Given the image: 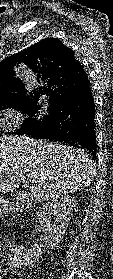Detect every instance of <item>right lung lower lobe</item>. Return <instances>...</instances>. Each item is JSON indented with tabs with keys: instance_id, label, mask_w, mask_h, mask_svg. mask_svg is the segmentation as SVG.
<instances>
[{
	"instance_id": "obj_1",
	"label": "right lung lower lobe",
	"mask_w": 113,
	"mask_h": 279,
	"mask_svg": "<svg viewBox=\"0 0 113 279\" xmlns=\"http://www.w3.org/2000/svg\"><path fill=\"white\" fill-rule=\"evenodd\" d=\"M25 134L63 142L96 157L95 104L89 79L74 97L57 105V113L51 121Z\"/></svg>"
}]
</instances>
